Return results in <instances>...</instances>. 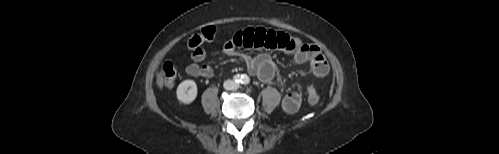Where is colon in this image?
Wrapping results in <instances>:
<instances>
[{
    "label": "colon",
    "instance_id": "colon-1",
    "mask_svg": "<svg viewBox=\"0 0 499 154\" xmlns=\"http://www.w3.org/2000/svg\"><path fill=\"white\" fill-rule=\"evenodd\" d=\"M215 29L213 27H206L198 34H193L188 40V46L191 49H197L205 40L213 39ZM177 77V70L175 65L168 61L165 62L159 71V79L166 87H172ZM308 102L311 105H316L320 100V95L313 85H309L306 90Z\"/></svg>",
    "mask_w": 499,
    "mask_h": 154
}]
</instances>
